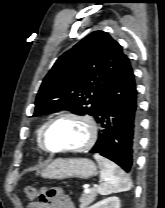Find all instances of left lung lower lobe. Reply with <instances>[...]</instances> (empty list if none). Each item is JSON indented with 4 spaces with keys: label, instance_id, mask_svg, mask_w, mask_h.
<instances>
[{
    "label": "left lung lower lobe",
    "instance_id": "1",
    "mask_svg": "<svg viewBox=\"0 0 165 208\" xmlns=\"http://www.w3.org/2000/svg\"><path fill=\"white\" fill-rule=\"evenodd\" d=\"M95 119L101 128L90 153H98L131 172L138 146L139 108L128 59L104 92Z\"/></svg>",
    "mask_w": 165,
    "mask_h": 208
}]
</instances>
